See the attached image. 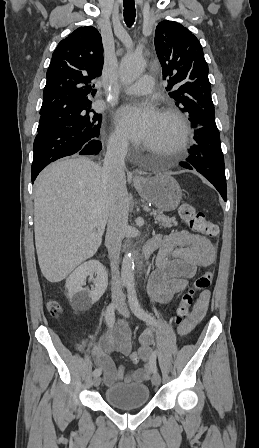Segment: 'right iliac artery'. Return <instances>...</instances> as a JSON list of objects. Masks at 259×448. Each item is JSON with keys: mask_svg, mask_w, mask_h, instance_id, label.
I'll return each instance as SVG.
<instances>
[{"mask_svg": "<svg viewBox=\"0 0 259 448\" xmlns=\"http://www.w3.org/2000/svg\"><path fill=\"white\" fill-rule=\"evenodd\" d=\"M105 320L110 329L113 328L115 323V303H111L108 305L106 312H105ZM102 373V370L100 368H97L93 371V376H100Z\"/></svg>", "mask_w": 259, "mask_h": 448, "instance_id": "right-iliac-artery-1", "label": "right iliac artery"}]
</instances>
